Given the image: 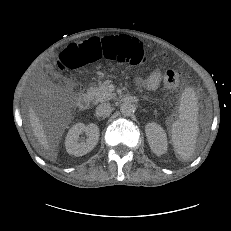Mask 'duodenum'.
I'll return each instance as SVG.
<instances>
[{"instance_id":"obj_1","label":"duodenum","mask_w":231,"mask_h":231,"mask_svg":"<svg viewBox=\"0 0 231 231\" xmlns=\"http://www.w3.org/2000/svg\"><path fill=\"white\" fill-rule=\"evenodd\" d=\"M91 96L89 93H84L77 98V106L79 109L85 110L90 104Z\"/></svg>"}]
</instances>
